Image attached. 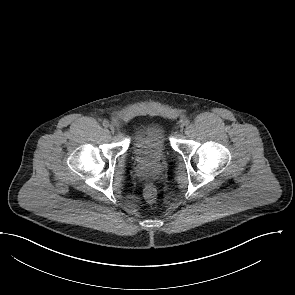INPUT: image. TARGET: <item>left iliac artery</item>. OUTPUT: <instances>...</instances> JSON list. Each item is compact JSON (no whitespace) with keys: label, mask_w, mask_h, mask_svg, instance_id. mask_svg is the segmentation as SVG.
Segmentation results:
<instances>
[{"label":"left iliac artery","mask_w":295,"mask_h":295,"mask_svg":"<svg viewBox=\"0 0 295 295\" xmlns=\"http://www.w3.org/2000/svg\"><path fill=\"white\" fill-rule=\"evenodd\" d=\"M190 124V121L188 119H185L184 120V125H189Z\"/></svg>","instance_id":"obj_1"}]
</instances>
